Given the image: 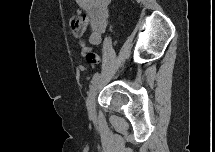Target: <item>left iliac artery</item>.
I'll return each instance as SVG.
<instances>
[{
	"label": "left iliac artery",
	"instance_id": "44dca946",
	"mask_svg": "<svg viewBox=\"0 0 215 152\" xmlns=\"http://www.w3.org/2000/svg\"><path fill=\"white\" fill-rule=\"evenodd\" d=\"M100 77V74L97 72L93 75L91 83H94L98 78Z\"/></svg>",
	"mask_w": 215,
	"mask_h": 152
}]
</instances>
